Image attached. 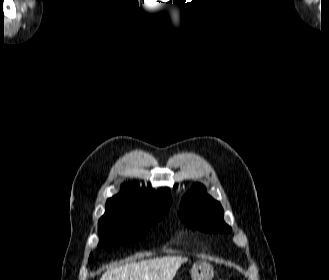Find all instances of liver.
I'll return each mask as SVG.
<instances>
[{"label": "liver", "mask_w": 329, "mask_h": 280, "mask_svg": "<svg viewBox=\"0 0 329 280\" xmlns=\"http://www.w3.org/2000/svg\"><path fill=\"white\" fill-rule=\"evenodd\" d=\"M187 257L165 256L136 262L114 265L100 280H172Z\"/></svg>", "instance_id": "liver-1"}]
</instances>
